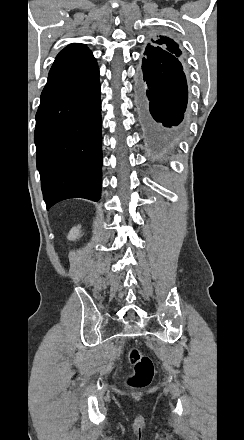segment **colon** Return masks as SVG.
Instances as JSON below:
<instances>
[{
  "label": "colon",
  "instance_id": "obj_1",
  "mask_svg": "<svg viewBox=\"0 0 244 440\" xmlns=\"http://www.w3.org/2000/svg\"><path fill=\"white\" fill-rule=\"evenodd\" d=\"M127 360L136 364L137 376L129 380L130 385L137 387L147 386L151 383V375L154 373V367L146 355H143L135 347L128 350Z\"/></svg>",
  "mask_w": 244,
  "mask_h": 440
}]
</instances>
